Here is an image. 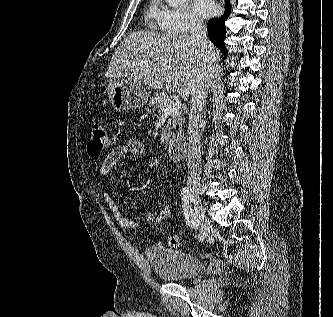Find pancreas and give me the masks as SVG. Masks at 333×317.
Returning <instances> with one entry per match:
<instances>
[{
  "mask_svg": "<svg viewBox=\"0 0 333 317\" xmlns=\"http://www.w3.org/2000/svg\"><path fill=\"white\" fill-rule=\"evenodd\" d=\"M170 102H172V100L167 94H155L149 103V107L152 109H148V112L152 111L154 113V117H161L164 115L165 106ZM184 122L185 118L180 110L169 115V119L167 120L161 134V141L164 145H167L173 138L181 134Z\"/></svg>",
  "mask_w": 333,
  "mask_h": 317,
  "instance_id": "pancreas-1",
  "label": "pancreas"
}]
</instances>
